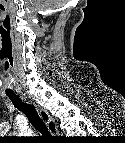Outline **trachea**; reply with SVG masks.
I'll return each instance as SVG.
<instances>
[{"instance_id":"3493384b","label":"trachea","mask_w":125,"mask_h":143,"mask_svg":"<svg viewBox=\"0 0 125 143\" xmlns=\"http://www.w3.org/2000/svg\"><path fill=\"white\" fill-rule=\"evenodd\" d=\"M9 99L12 101L13 105L23 112L30 123L44 136L52 138L51 133L46 127L44 121L39 116L35 107L31 104L23 103L21 99L16 94H8Z\"/></svg>"}]
</instances>
